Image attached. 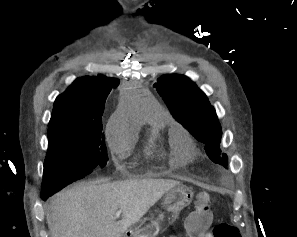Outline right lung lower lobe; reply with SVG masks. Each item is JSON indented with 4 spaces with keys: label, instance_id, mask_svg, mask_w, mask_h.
<instances>
[{
    "label": "right lung lower lobe",
    "instance_id": "1",
    "mask_svg": "<svg viewBox=\"0 0 297 237\" xmlns=\"http://www.w3.org/2000/svg\"><path fill=\"white\" fill-rule=\"evenodd\" d=\"M73 182V181H72ZM54 193H41V197L43 200H46L49 196H51Z\"/></svg>",
    "mask_w": 297,
    "mask_h": 237
}]
</instances>
